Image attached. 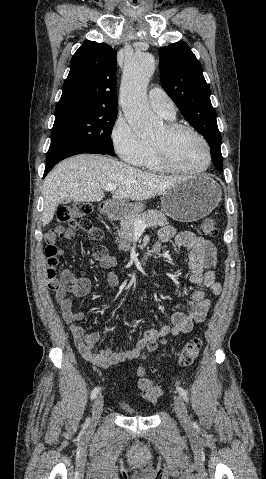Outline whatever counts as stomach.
Masks as SVG:
<instances>
[{
    "instance_id": "0dacf381",
    "label": "stomach",
    "mask_w": 266,
    "mask_h": 479,
    "mask_svg": "<svg viewBox=\"0 0 266 479\" xmlns=\"http://www.w3.org/2000/svg\"><path fill=\"white\" fill-rule=\"evenodd\" d=\"M221 200V189L208 174L181 181L162 194V211L175 221L193 222L211 213ZM144 210L142 203L112 202L104 207L113 219Z\"/></svg>"
}]
</instances>
